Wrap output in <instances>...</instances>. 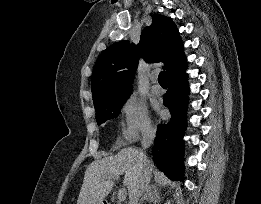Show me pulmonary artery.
Here are the masks:
<instances>
[{
  "label": "pulmonary artery",
  "mask_w": 261,
  "mask_h": 204,
  "mask_svg": "<svg viewBox=\"0 0 261 204\" xmlns=\"http://www.w3.org/2000/svg\"><path fill=\"white\" fill-rule=\"evenodd\" d=\"M152 80L154 82V84L152 85L151 87V90L152 92L155 94V95H161L163 93V89L162 87L157 83V77L156 76H153L152 77Z\"/></svg>",
  "instance_id": "1"
}]
</instances>
